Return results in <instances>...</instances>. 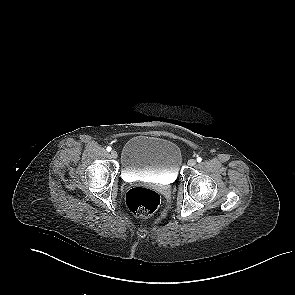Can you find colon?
<instances>
[{"label": "colon", "mask_w": 295, "mask_h": 295, "mask_svg": "<svg viewBox=\"0 0 295 295\" xmlns=\"http://www.w3.org/2000/svg\"><path fill=\"white\" fill-rule=\"evenodd\" d=\"M126 204L135 216L147 217L159 207L160 195L152 189L134 187L126 194Z\"/></svg>", "instance_id": "5ec220e1"}]
</instances>
